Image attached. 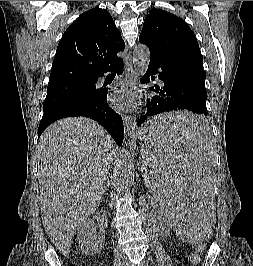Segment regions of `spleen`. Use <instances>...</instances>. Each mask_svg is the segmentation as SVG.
<instances>
[{"label": "spleen", "instance_id": "1", "mask_svg": "<svg viewBox=\"0 0 253 266\" xmlns=\"http://www.w3.org/2000/svg\"><path fill=\"white\" fill-rule=\"evenodd\" d=\"M206 115L201 111H163L150 117L146 132L147 150L140 162L139 173L153 195L154 204H161L177 229L184 248H204L213 226L211 185L215 178Z\"/></svg>", "mask_w": 253, "mask_h": 266}]
</instances>
